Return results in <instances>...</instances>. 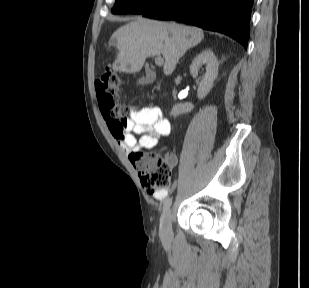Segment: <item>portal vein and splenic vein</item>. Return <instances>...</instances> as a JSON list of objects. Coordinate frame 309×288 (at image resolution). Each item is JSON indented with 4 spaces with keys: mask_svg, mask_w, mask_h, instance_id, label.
<instances>
[{
    "mask_svg": "<svg viewBox=\"0 0 309 288\" xmlns=\"http://www.w3.org/2000/svg\"><path fill=\"white\" fill-rule=\"evenodd\" d=\"M155 64L158 66H162L164 64V59L161 56H157L155 58Z\"/></svg>",
    "mask_w": 309,
    "mask_h": 288,
    "instance_id": "18ae733b",
    "label": "portal vein and splenic vein"
}]
</instances>
